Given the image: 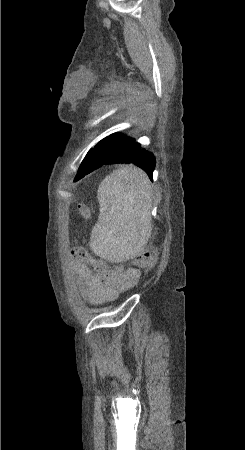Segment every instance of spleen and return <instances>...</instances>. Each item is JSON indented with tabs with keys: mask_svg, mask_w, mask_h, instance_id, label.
I'll return each mask as SVG.
<instances>
[{
	"mask_svg": "<svg viewBox=\"0 0 245 450\" xmlns=\"http://www.w3.org/2000/svg\"><path fill=\"white\" fill-rule=\"evenodd\" d=\"M98 221L90 248L101 258L121 262L136 256L152 232V191L144 171L129 165L114 170L100 183Z\"/></svg>",
	"mask_w": 245,
	"mask_h": 450,
	"instance_id": "3e777b00",
	"label": "spleen"
}]
</instances>
